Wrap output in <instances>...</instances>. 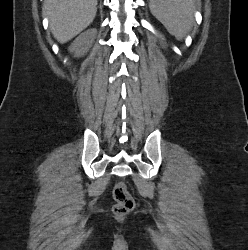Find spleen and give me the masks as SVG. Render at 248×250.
<instances>
[{"label": "spleen", "mask_w": 248, "mask_h": 250, "mask_svg": "<svg viewBox=\"0 0 248 250\" xmlns=\"http://www.w3.org/2000/svg\"><path fill=\"white\" fill-rule=\"evenodd\" d=\"M149 7L177 40H182L193 25L195 0H150Z\"/></svg>", "instance_id": "obj_1"}]
</instances>
